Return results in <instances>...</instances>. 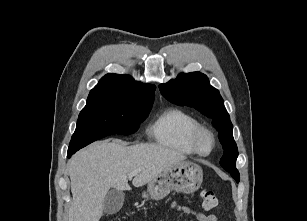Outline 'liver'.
<instances>
[{"label":"liver","instance_id":"6515ba94","mask_svg":"<svg viewBox=\"0 0 307 221\" xmlns=\"http://www.w3.org/2000/svg\"><path fill=\"white\" fill-rule=\"evenodd\" d=\"M185 159L182 153L157 144L126 146L105 140L88 146L68 162L73 196L69 221H99L110 188L130 190L129 175L136 171L132 184L141 187Z\"/></svg>","mask_w":307,"mask_h":221}]
</instances>
